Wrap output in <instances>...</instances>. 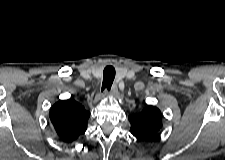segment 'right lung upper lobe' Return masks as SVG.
<instances>
[{"label": "right lung upper lobe", "mask_w": 225, "mask_h": 160, "mask_svg": "<svg viewBox=\"0 0 225 160\" xmlns=\"http://www.w3.org/2000/svg\"><path fill=\"white\" fill-rule=\"evenodd\" d=\"M51 123L64 142H72L87 130L90 113L72 98L55 103L50 109Z\"/></svg>", "instance_id": "cb5924a9"}]
</instances>
